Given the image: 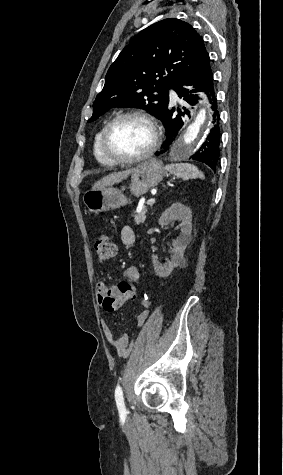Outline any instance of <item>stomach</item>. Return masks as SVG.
Here are the masks:
<instances>
[{
	"mask_svg": "<svg viewBox=\"0 0 283 475\" xmlns=\"http://www.w3.org/2000/svg\"><path fill=\"white\" fill-rule=\"evenodd\" d=\"M165 176V170L160 160H146L134 168L131 174L130 192L134 196H143L150 188H155ZM83 202L89 212L99 214V212H108L115 210L127 204V198L117 188H102V190H89L83 196Z\"/></svg>",
	"mask_w": 283,
	"mask_h": 475,
	"instance_id": "stomach-1",
	"label": "stomach"
}]
</instances>
